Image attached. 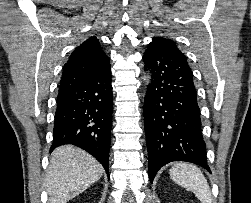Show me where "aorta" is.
<instances>
[{
    "label": "aorta",
    "mask_w": 251,
    "mask_h": 203,
    "mask_svg": "<svg viewBox=\"0 0 251 203\" xmlns=\"http://www.w3.org/2000/svg\"><path fill=\"white\" fill-rule=\"evenodd\" d=\"M144 81H145V83L146 84H149L150 83V81H151V75H150V73L149 72H147L145 75H144Z\"/></svg>",
    "instance_id": "762f6f07"
}]
</instances>
